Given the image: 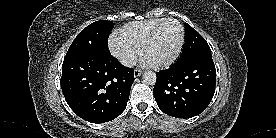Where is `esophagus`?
Segmentation results:
<instances>
[{"instance_id":"obj_1","label":"esophagus","mask_w":276,"mask_h":138,"mask_svg":"<svg viewBox=\"0 0 276 138\" xmlns=\"http://www.w3.org/2000/svg\"><path fill=\"white\" fill-rule=\"evenodd\" d=\"M142 74V71L140 70V69H135L134 70V76L135 77H138V76H140Z\"/></svg>"}]
</instances>
